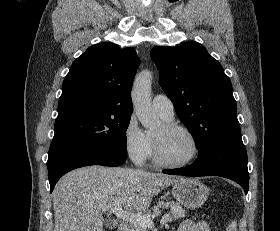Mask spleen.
<instances>
[{
    "label": "spleen",
    "instance_id": "obj_1",
    "mask_svg": "<svg viewBox=\"0 0 280 231\" xmlns=\"http://www.w3.org/2000/svg\"><path fill=\"white\" fill-rule=\"evenodd\" d=\"M228 231H237L236 221H232V223H230Z\"/></svg>",
    "mask_w": 280,
    "mask_h": 231
}]
</instances>
